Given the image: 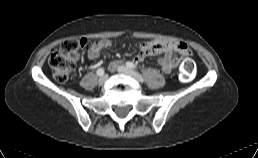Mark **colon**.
<instances>
[{
	"instance_id": "obj_1",
	"label": "colon",
	"mask_w": 258,
	"mask_h": 158,
	"mask_svg": "<svg viewBox=\"0 0 258 158\" xmlns=\"http://www.w3.org/2000/svg\"><path fill=\"white\" fill-rule=\"evenodd\" d=\"M88 45L86 39L67 40L58 46L49 58V65L53 76L58 82L69 79L75 69L81 51ZM194 76L193 62L186 56L180 69L179 78L183 82H189Z\"/></svg>"
}]
</instances>
